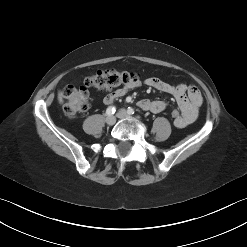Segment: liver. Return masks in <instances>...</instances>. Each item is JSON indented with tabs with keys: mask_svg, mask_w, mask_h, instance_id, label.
<instances>
[{
	"mask_svg": "<svg viewBox=\"0 0 247 247\" xmlns=\"http://www.w3.org/2000/svg\"><path fill=\"white\" fill-rule=\"evenodd\" d=\"M58 100L60 103L62 102V94L61 93L58 94Z\"/></svg>",
	"mask_w": 247,
	"mask_h": 247,
	"instance_id": "6515ba94",
	"label": "liver"
}]
</instances>
